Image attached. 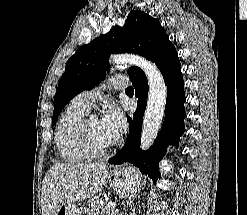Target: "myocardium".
Returning <instances> with one entry per match:
<instances>
[{
	"label": "myocardium",
	"instance_id": "obj_1",
	"mask_svg": "<svg viewBox=\"0 0 247 215\" xmlns=\"http://www.w3.org/2000/svg\"><path fill=\"white\" fill-rule=\"evenodd\" d=\"M89 120L90 119H83L79 125L78 130H79L80 141L86 152L90 155V157L99 158L106 156L108 153L112 151L114 145L110 144L105 147L97 145L88 129Z\"/></svg>",
	"mask_w": 247,
	"mask_h": 215
}]
</instances>
